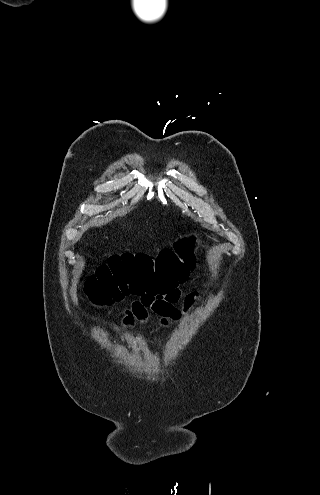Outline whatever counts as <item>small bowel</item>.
<instances>
[{"label": "small bowel", "instance_id": "obj_1", "mask_svg": "<svg viewBox=\"0 0 320 495\" xmlns=\"http://www.w3.org/2000/svg\"><path fill=\"white\" fill-rule=\"evenodd\" d=\"M189 273L186 272L177 285L164 293L145 292L139 299L132 303L130 309L125 313L122 320L124 327H131L135 322L145 324L149 318L148 310H151L160 320L163 326H169L181 321L199 299L197 292H190L182 297L179 284L187 282ZM182 299V307L177 308L175 304Z\"/></svg>", "mask_w": 320, "mask_h": 495}]
</instances>
